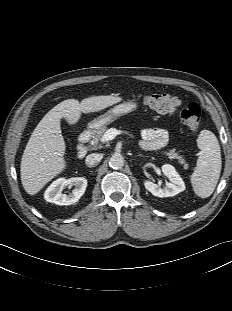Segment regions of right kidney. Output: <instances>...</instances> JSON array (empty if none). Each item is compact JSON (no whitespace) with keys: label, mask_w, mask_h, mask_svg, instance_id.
<instances>
[{"label":"right kidney","mask_w":232,"mask_h":311,"mask_svg":"<svg viewBox=\"0 0 232 311\" xmlns=\"http://www.w3.org/2000/svg\"><path fill=\"white\" fill-rule=\"evenodd\" d=\"M75 186L74 190L67 194L62 191L66 186ZM87 179L84 177H75L70 179L59 178L55 180L45 191L44 198L48 202L57 205H71L76 203L85 193Z\"/></svg>","instance_id":"ca27d5eb"}]
</instances>
